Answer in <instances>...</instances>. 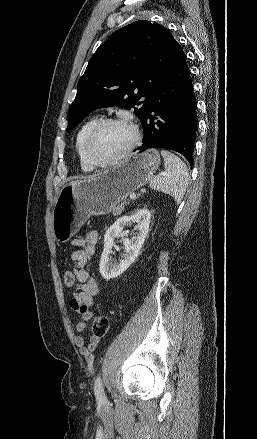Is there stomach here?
Masks as SVG:
<instances>
[{"instance_id": "obj_1", "label": "stomach", "mask_w": 257, "mask_h": 439, "mask_svg": "<svg viewBox=\"0 0 257 439\" xmlns=\"http://www.w3.org/2000/svg\"><path fill=\"white\" fill-rule=\"evenodd\" d=\"M160 164L156 149L133 153L100 174L65 183L55 200L53 234L66 243L92 215H106L130 193L144 186Z\"/></svg>"}]
</instances>
